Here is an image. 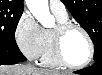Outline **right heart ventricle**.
<instances>
[{"label":"right heart ventricle","instance_id":"right-heart-ventricle-1","mask_svg":"<svg viewBox=\"0 0 102 75\" xmlns=\"http://www.w3.org/2000/svg\"><path fill=\"white\" fill-rule=\"evenodd\" d=\"M53 14L57 20V23H63L68 21V15H60L57 13H53ZM51 34H52V30L42 29L43 48H42V54L40 56V59L42 64L48 67H54L59 65L58 62L53 57Z\"/></svg>","mask_w":102,"mask_h":75}]
</instances>
